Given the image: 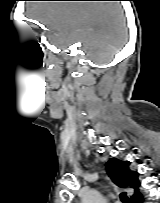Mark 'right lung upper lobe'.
<instances>
[{"label": "right lung upper lobe", "mask_w": 160, "mask_h": 203, "mask_svg": "<svg viewBox=\"0 0 160 203\" xmlns=\"http://www.w3.org/2000/svg\"><path fill=\"white\" fill-rule=\"evenodd\" d=\"M129 164L128 161L112 158L106 163V169L109 177L117 186L134 189L135 192L130 198V203H137L141 198V194L138 191V173L131 171Z\"/></svg>", "instance_id": "cb5924a9"}]
</instances>
